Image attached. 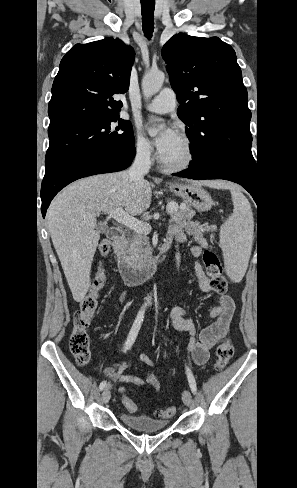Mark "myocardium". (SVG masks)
<instances>
[{"label": "myocardium", "mask_w": 297, "mask_h": 488, "mask_svg": "<svg viewBox=\"0 0 297 488\" xmlns=\"http://www.w3.org/2000/svg\"><path fill=\"white\" fill-rule=\"evenodd\" d=\"M179 137L182 139V141L185 144L186 152H187L186 158L182 162L177 164H171L164 161L161 157L159 158V163L161 167L170 172H180V171L187 170L193 165L196 158V149L192 139L184 133H181Z\"/></svg>", "instance_id": "myocardium-1"}]
</instances>
